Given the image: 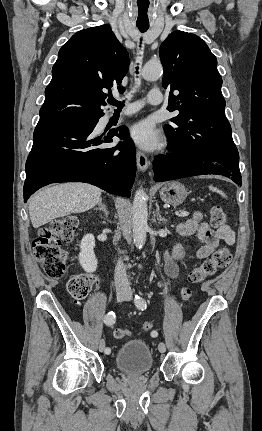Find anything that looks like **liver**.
I'll list each match as a JSON object with an SVG mask.
<instances>
[{
    "label": "liver",
    "mask_w": 262,
    "mask_h": 431,
    "mask_svg": "<svg viewBox=\"0 0 262 431\" xmlns=\"http://www.w3.org/2000/svg\"><path fill=\"white\" fill-rule=\"evenodd\" d=\"M101 189L84 183L48 187L29 200L32 225L38 228L53 219L92 209L101 200Z\"/></svg>",
    "instance_id": "obj_1"
}]
</instances>
